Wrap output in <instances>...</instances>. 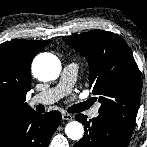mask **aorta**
<instances>
[{
	"instance_id": "762f6f07",
	"label": "aorta",
	"mask_w": 147,
	"mask_h": 147,
	"mask_svg": "<svg viewBox=\"0 0 147 147\" xmlns=\"http://www.w3.org/2000/svg\"><path fill=\"white\" fill-rule=\"evenodd\" d=\"M60 71V60L50 53L39 54L32 63L33 75L40 81L55 80ZM65 133L71 140H80L83 137L84 128L80 122L72 121L66 125Z\"/></svg>"
}]
</instances>
